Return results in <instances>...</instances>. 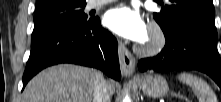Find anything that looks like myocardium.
Wrapping results in <instances>:
<instances>
[{
  "mask_svg": "<svg viewBox=\"0 0 221 102\" xmlns=\"http://www.w3.org/2000/svg\"><path fill=\"white\" fill-rule=\"evenodd\" d=\"M165 41L162 29L157 24H152L138 50L144 55H154L164 47Z\"/></svg>",
  "mask_w": 221,
  "mask_h": 102,
  "instance_id": "obj_1",
  "label": "myocardium"
}]
</instances>
